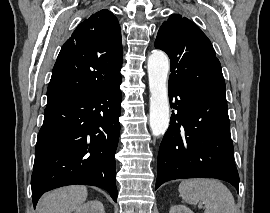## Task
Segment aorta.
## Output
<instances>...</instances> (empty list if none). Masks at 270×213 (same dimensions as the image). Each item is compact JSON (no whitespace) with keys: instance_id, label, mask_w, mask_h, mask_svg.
I'll return each instance as SVG.
<instances>
[{"instance_id":"aorta-1","label":"aorta","mask_w":270,"mask_h":213,"mask_svg":"<svg viewBox=\"0 0 270 213\" xmlns=\"http://www.w3.org/2000/svg\"><path fill=\"white\" fill-rule=\"evenodd\" d=\"M169 60L167 55L155 50L148 58L150 97V128L154 136L163 135L169 126V101L167 76Z\"/></svg>"}]
</instances>
